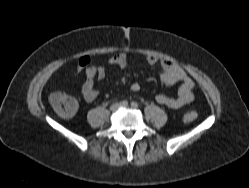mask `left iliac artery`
<instances>
[{
    "label": "left iliac artery",
    "instance_id": "left-iliac-artery-1",
    "mask_svg": "<svg viewBox=\"0 0 249 188\" xmlns=\"http://www.w3.org/2000/svg\"><path fill=\"white\" fill-rule=\"evenodd\" d=\"M138 103L137 102H131V107L133 108H138Z\"/></svg>",
    "mask_w": 249,
    "mask_h": 188
}]
</instances>
